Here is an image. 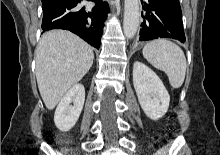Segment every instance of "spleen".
<instances>
[{"label":"spleen","mask_w":220,"mask_h":155,"mask_svg":"<svg viewBox=\"0 0 220 155\" xmlns=\"http://www.w3.org/2000/svg\"><path fill=\"white\" fill-rule=\"evenodd\" d=\"M144 58L156 69L164 71L172 88L182 86L186 74V58L183 50L167 39H157L143 48Z\"/></svg>","instance_id":"spleen-1"}]
</instances>
